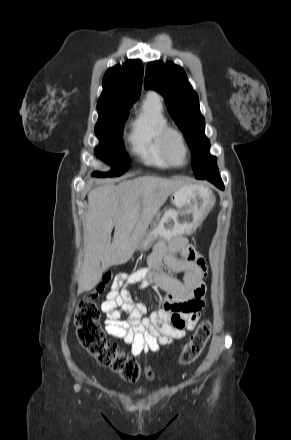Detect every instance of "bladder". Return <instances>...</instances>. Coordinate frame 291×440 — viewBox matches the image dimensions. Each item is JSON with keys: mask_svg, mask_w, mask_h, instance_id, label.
<instances>
[{"mask_svg": "<svg viewBox=\"0 0 291 440\" xmlns=\"http://www.w3.org/2000/svg\"><path fill=\"white\" fill-rule=\"evenodd\" d=\"M146 394V391L142 390V389H134L128 392L129 396L132 397H137V396H143Z\"/></svg>", "mask_w": 291, "mask_h": 440, "instance_id": "1", "label": "bladder"}]
</instances>
